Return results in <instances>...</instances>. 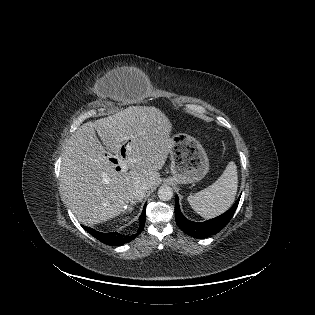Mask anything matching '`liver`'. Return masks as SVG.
Listing matches in <instances>:
<instances>
[{"mask_svg": "<svg viewBox=\"0 0 315 315\" xmlns=\"http://www.w3.org/2000/svg\"><path fill=\"white\" fill-rule=\"evenodd\" d=\"M171 130L170 120L154 106H130L81 125L68 139L61 158L63 196L79 222L94 225L114 218L136 200L138 184L156 187L158 171L173 147ZM96 132L115 154L121 171L115 170ZM123 145L124 159L120 155ZM123 163L129 171H122Z\"/></svg>", "mask_w": 315, "mask_h": 315, "instance_id": "obj_1", "label": "liver"}]
</instances>
